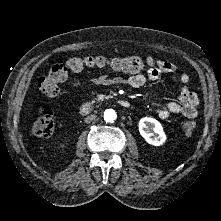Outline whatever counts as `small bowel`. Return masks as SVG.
<instances>
[{"label":"small bowel","instance_id":"1","mask_svg":"<svg viewBox=\"0 0 221 221\" xmlns=\"http://www.w3.org/2000/svg\"><path fill=\"white\" fill-rule=\"evenodd\" d=\"M179 68L176 64L159 60L158 66L147 70L145 73H132L126 77H109L107 75L94 76L90 83L98 86H129L138 88L149 81H156L161 73H177ZM179 82L183 85L179 95V102H168L158 110V117L162 120L171 116H184L193 119L198 114L199 98L196 93L192 92L189 87V76L186 73L179 74Z\"/></svg>","mask_w":221,"mask_h":221}]
</instances>
